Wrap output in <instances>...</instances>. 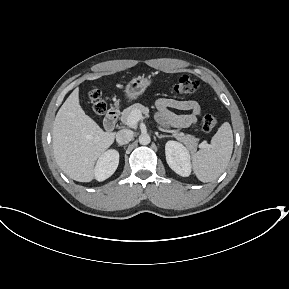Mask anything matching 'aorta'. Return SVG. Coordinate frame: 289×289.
Masks as SVG:
<instances>
[{
	"label": "aorta",
	"mask_w": 289,
	"mask_h": 289,
	"mask_svg": "<svg viewBox=\"0 0 289 289\" xmlns=\"http://www.w3.org/2000/svg\"><path fill=\"white\" fill-rule=\"evenodd\" d=\"M151 142V138L148 134H141L139 136V143L141 145H148Z\"/></svg>",
	"instance_id": "aorta-1"
}]
</instances>
